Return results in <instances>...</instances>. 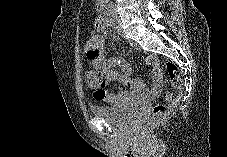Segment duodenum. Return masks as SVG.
I'll list each match as a JSON object with an SVG mask.
<instances>
[{
  "label": "duodenum",
  "mask_w": 227,
  "mask_h": 157,
  "mask_svg": "<svg viewBox=\"0 0 227 157\" xmlns=\"http://www.w3.org/2000/svg\"><path fill=\"white\" fill-rule=\"evenodd\" d=\"M108 23H113L114 22V18L110 15L107 18V15H101L99 18V23L102 25H93V30H104V24Z\"/></svg>",
  "instance_id": "410a0bca"
}]
</instances>
